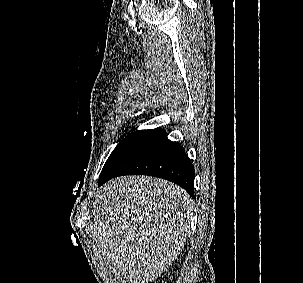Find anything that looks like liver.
Returning a JSON list of instances; mask_svg holds the SVG:
<instances>
[{"instance_id":"liver-1","label":"liver","mask_w":303,"mask_h":283,"mask_svg":"<svg viewBox=\"0 0 303 283\" xmlns=\"http://www.w3.org/2000/svg\"><path fill=\"white\" fill-rule=\"evenodd\" d=\"M194 202L179 186L147 176L120 177L100 190L93 235L130 283L156 280L177 259Z\"/></svg>"}]
</instances>
